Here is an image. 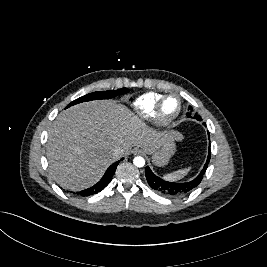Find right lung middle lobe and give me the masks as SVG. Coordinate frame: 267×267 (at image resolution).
<instances>
[{"mask_svg":"<svg viewBox=\"0 0 267 267\" xmlns=\"http://www.w3.org/2000/svg\"><path fill=\"white\" fill-rule=\"evenodd\" d=\"M128 93V89L127 88H121L118 90H112V91H97V92H93L90 94H87L85 96H82L76 100H74L73 102H71L66 108L73 106L75 104L78 103H82V102H86V101H91V100H96V99H110L113 98L119 94H126Z\"/></svg>","mask_w":267,"mask_h":267,"instance_id":"dd1d6c3e","label":"right lung middle lobe"}]
</instances>
